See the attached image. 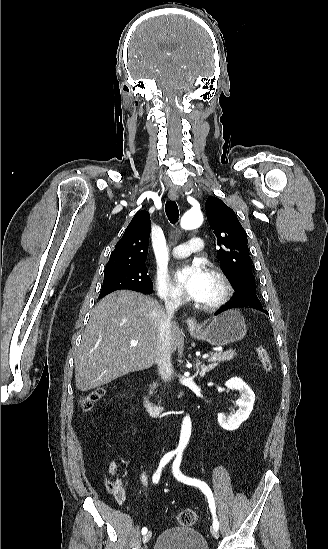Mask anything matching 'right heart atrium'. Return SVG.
Returning <instances> with one entry per match:
<instances>
[{
    "mask_svg": "<svg viewBox=\"0 0 328 549\" xmlns=\"http://www.w3.org/2000/svg\"><path fill=\"white\" fill-rule=\"evenodd\" d=\"M155 287L158 296L164 303H183L182 299L171 285L167 273L157 271Z\"/></svg>",
    "mask_w": 328,
    "mask_h": 549,
    "instance_id": "right-heart-atrium-1",
    "label": "right heart atrium"
}]
</instances>
